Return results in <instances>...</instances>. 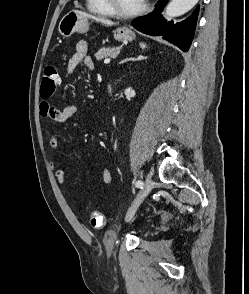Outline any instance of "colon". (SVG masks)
Wrapping results in <instances>:
<instances>
[{
    "instance_id": "colon-1",
    "label": "colon",
    "mask_w": 249,
    "mask_h": 294,
    "mask_svg": "<svg viewBox=\"0 0 249 294\" xmlns=\"http://www.w3.org/2000/svg\"><path fill=\"white\" fill-rule=\"evenodd\" d=\"M60 85V76L55 66H48L42 76L40 96L42 99L51 98ZM90 224L95 229H102L106 225V218L99 212L90 214Z\"/></svg>"
}]
</instances>
